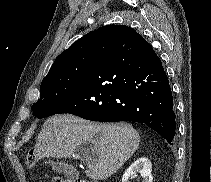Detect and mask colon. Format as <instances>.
Segmentation results:
<instances>
[{
    "instance_id": "colon-1",
    "label": "colon",
    "mask_w": 211,
    "mask_h": 182,
    "mask_svg": "<svg viewBox=\"0 0 211 182\" xmlns=\"http://www.w3.org/2000/svg\"><path fill=\"white\" fill-rule=\"evenodd\" d=\"M25 160H26V165H27L28 168L35 167L37 159H36V155L33 151H30V152L27 153ZM51 182H90V181L80 180V179L68 180V179H62V178H59V177H53L51 179Z\"/></svg>"
}]
</instances>
